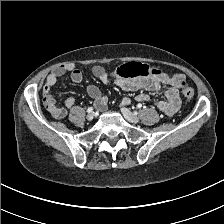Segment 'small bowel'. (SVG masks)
I'll return each mask as SVG.
<instances>
[{"instance_id": "1", "label": "small bowel", "mask_w": 224, "mask_h": 224, "mask_svg": "<svg viewBox=\"0 0 224 224\" xmlns=\"http://www.w3.org/2000/svg\"><path fill=\"white\" fill-rule=\"evenodd\" d=\"M67 71L70 72V79L72 82L80 83L83 80V75L80 70L73 68L71 65H62L54 69L47 76L43 87L45 106L49 113L57 119L64 118L67 112L65 108L59 107L55 104L51 89L56 84L57 80ZM92 74L102 83H109V75L102 66H94L92 68ZM181 79L183 78L179 74H166L159 71L156 74L134 79L118 76L115 80V85L124 91L130 92L161 90L165 98L156 101L155 106L168 116H172L178 111L181 104L178 93V83ZM87 93L94 100L96 107L100 111H103L106 107L107 97L101 92V90L97 86L90 84L87 86ZM136 100L140 102H148L150 100V96L145 92H141L136 96ZM130 101V98H124L121 105H128ZM74 104L75 99L73 97H68L65 101V105L68 108L73 107Z\"/></svg>"}]
</instances>
